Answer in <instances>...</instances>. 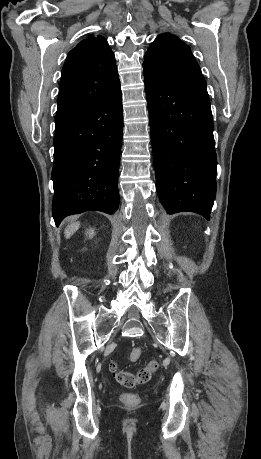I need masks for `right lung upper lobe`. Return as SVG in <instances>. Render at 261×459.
<instances>
[{
    "label": "right lung upper lobe",
    "instance_id": "obj_1",
    "mask_svg": "<svg viewBox=\"0 0 261 459\" xmlns=\"http://www.w3.org/2000/svg\"><path fill=\"white\" fill-rule=\"evenodd\" d=\"M115 57L102 36L73 48L62 69L55 122L91 107L119 86Z\"/></svg>",
    "mask_w": 261,
    "mask_h": 459
}]
</instances>
